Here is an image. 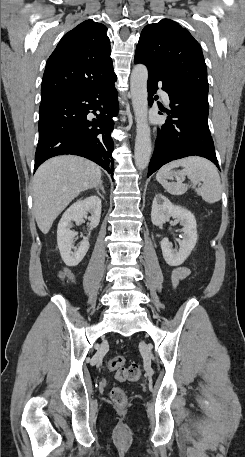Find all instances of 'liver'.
<instances>
[{"mask_svg":"<svg viewBox=\"0 0 245 457\" xmlns=\"http://www.w3.org/2000/svg\"><path fill=\"white\" fill-rule=\"evenodd\" d=\"M98 164L73 154L54 156L37 168L33 178V210L43 235L49 233L58 214L82 190L99 186Z\"/></svg>","mask_w":245,"mask_h":457,"instance_id":"1","label":"liver"}]
</instances>
